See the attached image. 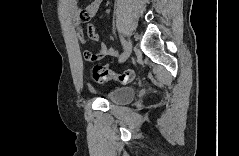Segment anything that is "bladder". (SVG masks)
<instances>
[{
    "label": "bladder",
    "instance_id": "31cf9c89",
    "mask_svg": "<svg viewBox=\"0 0 239 156\" xmlns=\"http://www.w3.org/2000/svg\"><path fill=\"white\" fill-rule=\"evenodd\" d=\"M105 99L116 104H128L135 97L133 87H115L104 93Z\"/></svg>",
    "mask_w": 239,
    "mask_h": 156
}]
</instances>
